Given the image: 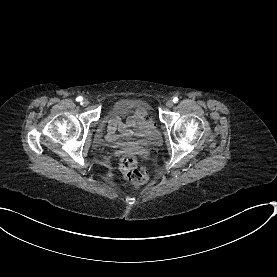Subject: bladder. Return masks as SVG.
<instances>
[{"label": "bladder", "mask_w": 277, "mask_h": 277, "mask_svg": "<svg viewBox=\"0 0 277 277\" xmlns=\"http://www.w3.org/2000/svg\"><path fill=\"white\" fill-rule=\"evenodd\" d=\"M135 111L145 112L151 115V104L147 99H134L121 98L111 103L107 112L104 114L103 119L107 121L119 120L120 117L133 113ZM159 135V126L152 121L148 120L147 125L137 135V141L140 143H149Z\"/></svg>", "instance_id": "1"}]
</instances>
